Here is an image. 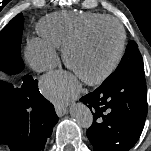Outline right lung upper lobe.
<instances>
[{"label": "right lung upper lobe", "instance_id": "cb5924a9", "mask_svg": "<svg viewBox=\"0 0 151 151\" xmlns=\"http://www.w3.org/2000/svg\"><path fill=\"white\" fill-rule=\"evenodd\" d=\"M7 127V120L4 113L0 112V132H3Z\"/></svg>", "mask_w": 151, "mask_h": 151}]
</instances>
